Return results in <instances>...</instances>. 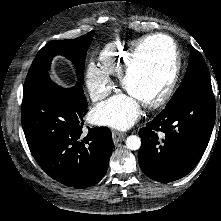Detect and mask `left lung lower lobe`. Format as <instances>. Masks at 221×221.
Wrapping results in <instances>:
<instances>
[{
	"label": "left lung lower lobe",
	"instance_id": "1",
	"mask_svg": "<svg viewBox=\"0 0 221 221\" xmlns=\"http://www.w3.org/2000/svg\"><path fill=\"white\" fill-rule=\"evenodd\" d=\"M213 92L191 91L140 129L142 171L158 182L178 180L203 156L215 122Z\"/></svg>",
	"mask_w": 221,
	"mask_h": 221
}]
</instances>
